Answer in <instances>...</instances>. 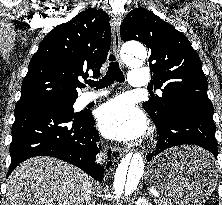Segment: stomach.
Instances as JSON below:
<instances>
[{
	"label": "stomach",
	"mask_w": 222,
	"mask_h": 205,
	"mask_svg": "<svg viewBox=\"0 0 222 205\" xmlns=\"http://www.w3.org/2000/svg\"><path fill=\"white\" fill-rule=\"evenodd\" d=\"M208 153L197 147L168 150L148 166L147 182L178 205H201L215 189L217 172Z\"/></svg>",
	"instance_id": "0dacf381"
}]
</instances>
